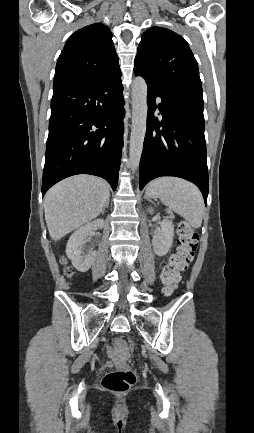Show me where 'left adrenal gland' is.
<instances>
[{"instance_id":"left-adrenal-gland-1","label":"left adrenal gland","mask_w":254,"mask_h":433,"mask_svg":"<svg viewBox=\"0 0 254 433\" xmlns=\"http://www.w3.org/2000/svg\"><path fill=\"white\" fill-rule=\"evenodd\" d=\"M144 199H147V200H149V198H148V196H147V195H145V196H144Z\"/></svg>"}]
</instances>
